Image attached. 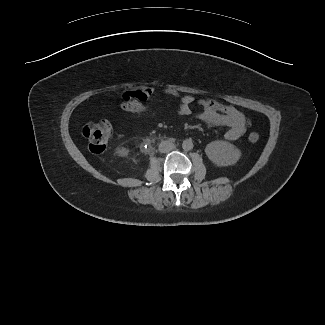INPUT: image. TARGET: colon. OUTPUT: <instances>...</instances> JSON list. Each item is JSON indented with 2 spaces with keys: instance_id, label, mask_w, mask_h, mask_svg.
Here are the masks:
<instances>
[{
  "instance_id": "1",
  "label": "colon",
  "mask_w": 325,
  "mask_h": 325,
  "mask_svg": "<svg viewBox=\"0 0 325 325\" xmlns=\"http://www.w3.org/2000/svg\"><path fill=\"white\" fill-rule=\"evenodd\" d=\"M122 107L125 111L135 114H145L154 111V107L148 103L129 102ZM111 132V124L106 120L90 122L82 130L83 136L88 141L89 149L94 153H100L106 149ZM248 140L252 143L257 142L259 134L256 132L250 133Z\"/></svg>"
}]
</instances>
